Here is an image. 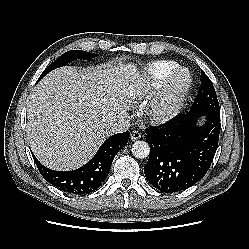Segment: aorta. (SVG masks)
Here are the masks:
<instances>
[{"mask_svg":"<svg viewBox=\"0 0 249 249\" xmlns=\"http://www.w3.org/2000/svg\"><path fill=\"white\" fill-rule=\"evenodd\" d=\"M131 151L136 158L144 159L149 156L150 147L147 142L142 140H137L133 143Z\"/></svg>","mask_w":249,"mask_h":249,"instance_id":"1","label":"aorta"}]
</instances>
